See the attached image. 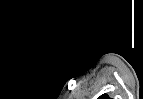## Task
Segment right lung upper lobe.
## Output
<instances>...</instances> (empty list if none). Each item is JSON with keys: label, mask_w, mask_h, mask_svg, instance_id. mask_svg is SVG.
I'll return each mask as SVG.
<instances>
[{"label": "right lung upper lobe", "mask_w": 143, "mask_h": 99, "mask_svg": "<svg viewBox=\"0 0 143 99\" xmlns=\"http://www.w3.org/2000/svg\"><path fill=\"white\" fill-rule=\"evenodd\" d=\"M98 99H110V98L107 94H103Z\"/></svg>", "instance_id": "cb5924a9"}]
</instances>
